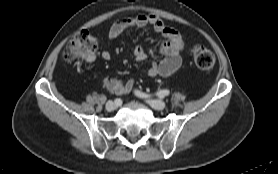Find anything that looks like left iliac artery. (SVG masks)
Masks as SVG:
<instances>
[{
  "label": "left iliac artery",
  "mask_w": 278,
  "mask_h": 174,
  "mask_svg": "<svg viewBox=\"0 0 278 174\" xmlns=\"http://www.w3.org/2000/svg\"><path fill=\"white\" fill-rule=\"evenodd\" d=\"M136 95L140 96V97H147L146 94L141 93L140 91L136 90L135 91ZM170 94V91L167 89L161 90L159 92H157L158 97L163 98L165 96H168Z\"/></svg>",
  "instance_id": "44dca946"
}]
</instances>
